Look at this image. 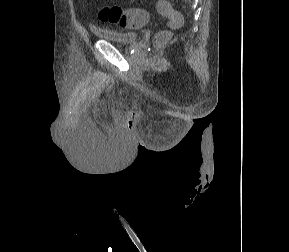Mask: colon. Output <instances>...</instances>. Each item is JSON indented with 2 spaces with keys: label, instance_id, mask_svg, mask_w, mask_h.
<instances>
[{
  "label": "colon",
  "instance_id": "obj_1",
  "mask_svg": "<svg viewBox=\"0 0 289 252\" xmlns=\"http://www.w3.org/2000/svg\"><path fill=\"white\" fill-rule=\"evenodd\" d=\"M158 12L169 19V25L172 28H178L182 25V16L173 8L170 2L160 0L157 3ZM99 19L102 22L117 24L124 28L138 27L147 22L149 14L146 10L135 8L131 10L123 9L119 6H105L99 11ZM169 38V34L160 31L155 35L157 44L164 43Z\"/></svg>",
  "mask_w": 289,
  "mask_h": 252
}]
</instances>
